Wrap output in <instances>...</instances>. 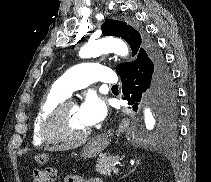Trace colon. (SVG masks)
<instances>
[{
    "mask_svg": "<svg viewBox=\"0 0 211 182\" xmlns=\"http://www.w3.org/2000/svg\"><path fill=\"white\" fill-rule=\"evenodd\" d=\"M56 177V170L46 167L44 170H34L32 182H52Z\"/></svg>",
    "mask_w": 211,
    "mask_h": 182,
    "instance_id": "colon-1",
    "label": "colon"
}]
</instances>
